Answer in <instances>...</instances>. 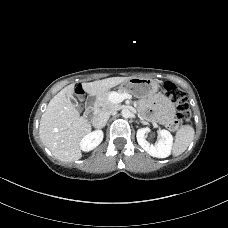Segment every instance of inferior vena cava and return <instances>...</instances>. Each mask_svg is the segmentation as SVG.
Listing matches in <instances>:
<instances>
[{
	"instance_id": "obj_1",
	"label": "inferior vena cava",
	"mask_w": 228,
	"mask_h": 228,
	"mask_svg": "<svg viewBox=\"0 0 228 228\" xmlns=\"http://www.w3.org/2000/svg\"><path fill=\"white\" fill-rule=\"evenodd\" d=\"M111 113L104 112L93 117L92 124L95 128H102L106 125Z\"/></svg>"
}]
</instances>
